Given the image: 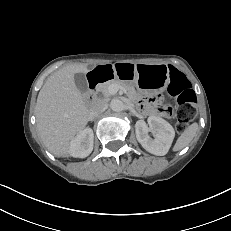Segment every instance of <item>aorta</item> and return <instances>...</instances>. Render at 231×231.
Here are the masks:
<instances>
[{
  "instance_id": "obj_1",
  "label": "aorta",
  "mask_w": 231,
  "mask_h": 231,
  "mask_svg": "<svg viewBox=\"0 0 231 231\" xmlns=\"http://www.w3.org/2000/svg\"><path fill=\"white\" fill-rule=\"evenodd\" d=\"M110 108L114 111V112H120L124 110V103L122 100L120 99H112L110 102Z\"/></svg>"
}]
</instances>
